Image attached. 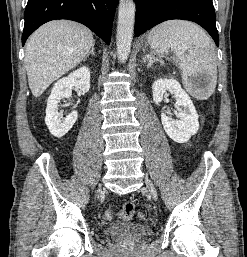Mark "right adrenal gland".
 Listing matches in <instances>:
<instances>
[{"mask_svg": "<svg viewBox=\"0 0 247 257\" xmlns=\"http://www.w3.org/2000/svg\"><path fill=\"white\" fill-rule=\"evenodd\" d=\"M94 46H95V43L92 45L91 50L88 52V54L83 59V61H86L90 54H92L93 56L95 55V53H94Z\"/></svg>", "mask_w": 247, "mask_h": 257, "instance_id": "right-adrenal-gland-1", "label": "right adrenal gland"}]
</instances>
